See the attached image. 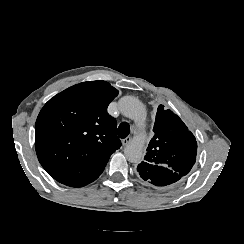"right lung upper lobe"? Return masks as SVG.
<instances>
[{
  "instance_id": "right-lung-upper-lobe-1",
  "label": "right lung upper lobe",
  "mask_w": 244,
  "mask_h": 244,
  "mask_svg": "<svg viewBox=\"0 0 244 244\" xmlns=\"http://www.w3.org/2000/svg\"><path fill=\"white\" fill-rule=\"evenodd\" d=\"M118 90L105 81L76 84L51 98L35 125L39 162L62 184L87 185L120 148L116 120L107 107Z\"/></svg>"
}]
</instances>
